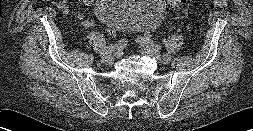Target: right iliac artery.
Returning <instances> with one entry per match:
<instances>
[{
	"mask_svg": "<svg viewBox=\"0 0 253 131\" xmlns=\"http://www.w3.org/2000/svg\"><path fill=\"white\" fill-rule=\"evenodd\" d=\"M126 41H120L119 43L115 44V45H111L108 47H105L101 50L100 54L101 55H105V54H109L112 53L114 51H118L121 50L122 48H124V46L126 45L125 43Z\"/></svg>",
	"mask_w": 253,
	"mask_h": 131,
	"instance_id": "82829eb1",
	"label": "right iliac artery"
}]
</instances>
